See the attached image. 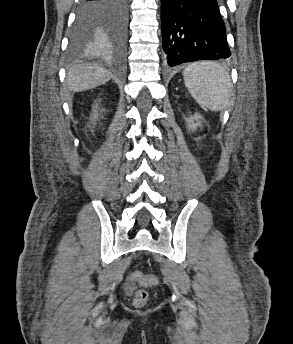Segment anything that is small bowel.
I'll list each match as a JSON object with an SVG mask.
<instances>
[{"instance_id": "small-bowel-1", "label": "small bowel", "mask_w": 293, "mask_h": 344, "mask_svg": "<svg viewBox=\"0 0 293 344\" xmlns=\"http://www.w3.org/2000/svg\"><path fill=\"white\" fill-rule=\"evenodd\" d=\"M126 291L128 294H131L134 291V284H132L130 281L126 284Z\"/></svg>"}]
</instances>
